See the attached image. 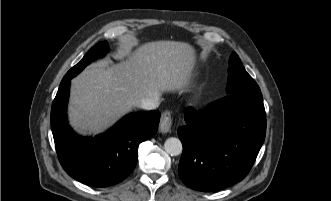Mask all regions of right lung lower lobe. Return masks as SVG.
Here are the masks:
<instances>
[{
	"label": "right lung lower lobe",
	"instance_id": "98d812e1",
	"mask_svg": "<svg viewBox=\"0 0 331 201\" xmlns=\"http://www.w3.org/2000/svg\"><path fill=\"white\" fill-rule=\"evenodd\" d=\"M70 80L61 82L51 109V127L63 169L74 179L94 187L123 181L135 168L138 145L158 129L159 111L131 113L106 133L77 136L69 127L66 107Z\"/></svg>",
	"mask_w": 331,
	"mask_h": 201
}]
</instances>
